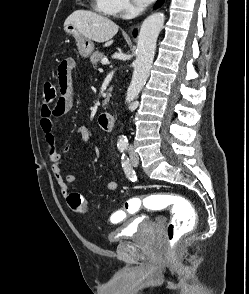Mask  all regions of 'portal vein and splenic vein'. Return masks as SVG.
I'll return each instance as SVG.
<instances>
[{
  "label": "portal vein and splenic vein",
  "instance_id": "obj_1",
  "mask_svg": "<svg viewBox=\"0 0 249 294\" xmlns=\"http://www.w3.org/2000/svg\"><path fill=\"white\" fill-rule=\"evenodd\" d=\"M107 63H108V60H107V59H103V60H102V64H103V65H106Z\"/></svg>",
  "mask_w": 249,
  "mask_h": 294
}]
</instances>
